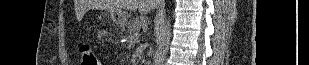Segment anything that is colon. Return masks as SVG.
<instances>
[{
    "mask_svg": "<svg viewBox=\"0 0 309 65\" xmlns=\"http://www.w3.org/2000/svg\"><path fill=\"white\" fill-rule=\"evenodd\" d=\"M80 55L81 65H100L90 43L83 42L80 45Z\"/></svg>",
    "mask_w": 309,
    "mask_h": 65,
    "instance_id": "5ec220e1",
    "label": "colon"
}]
</instances>
